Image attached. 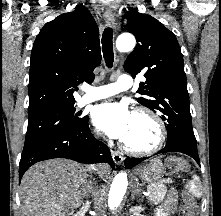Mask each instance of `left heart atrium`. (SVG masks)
<instances>
[{
    "mask_svg": "<svg viewBox=\"0 0 221 216\" xmlns=\"http://www.w3.org/2000/svg\"><path fill=\"white\" fill-rule=\"evenodd\" d=\"M133 116L125 104L106 102L95 107L92 118L106 135L123 140L129 132Z\"/></svg>",
    "mask_w": 221,
    "mask_h": 216,
    "instance_id": "39dd6f15",
    "label": "left heart atrium"
}]
</instances>
